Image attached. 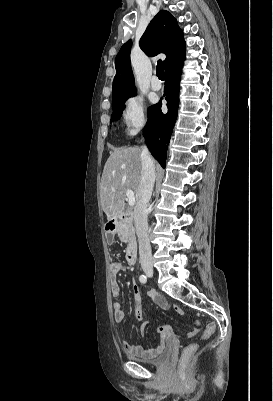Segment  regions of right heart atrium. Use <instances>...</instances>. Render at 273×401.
I'll return each instance as SVG.
<instances>
[{
	"label": "right heart atrium",
	"instance_id": "obj_1",
	"mask_svg": "<svg viewBox=\"0 0 273 401\" xmlns=\"http://www.w3.org/2000/svg\"><path fill=\"white\" fill-rule=\"evenodd\" d=\"M122 117L126 134L137 135L146 123L143 101L135 96L128 98L124 103Z\"/></svg>",
	"mask_w": 273,
	"mask_h": 401
}]
</instances>
